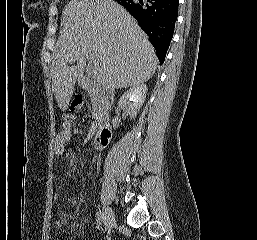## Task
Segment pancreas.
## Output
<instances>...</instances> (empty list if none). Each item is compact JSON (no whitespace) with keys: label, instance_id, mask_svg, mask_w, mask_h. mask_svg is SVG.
<instances>
[{"label":"pancreas","instance_id":"1","mask_svg":"<svg viewBox=\"0 0 257 240\" xmlns=\"http://www.w3.org/2000/svg\"><path fill=\"white\" fill-rule=\"evenodd\" d=\"M88 93L91 97L94 115L96 119L99 120L100 117L107 114L110 108L109 101L101 90L90 89Z\"/></svg>","mask_w":257,"mask_h":240}]
</instances>
